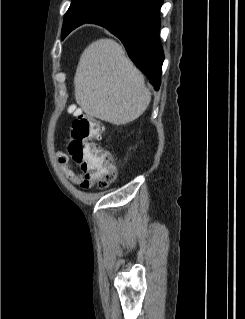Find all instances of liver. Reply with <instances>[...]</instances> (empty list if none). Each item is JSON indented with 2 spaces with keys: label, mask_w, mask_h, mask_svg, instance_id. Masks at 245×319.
<instances>
[{
  "label": "liver",
  "mask_w": 245,
  "mask_h": 319,
  "mask_svg": "<svg viewBox=\"0 0 245 319\" xmlns=\"http://www.w3.org/2000/svg\"><path fill=\"white\" fill-rule=\"evenodd\" d=\"M75 100L92 117L114 125L134 121L147 109L151 93L143 74L113 39L91 43L74 76Z\"/></svg>",
  "instance_id": "6515ba94"
}]
</instances>
